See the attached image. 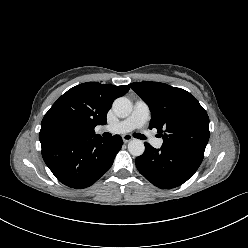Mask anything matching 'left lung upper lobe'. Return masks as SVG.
Wrapping results in <instances>:
<instances>
[{"mask_svg": "<svg viewBox=\"0 0 248 248\" xmlns=\"http://www.w3.org/2000/svg\"><path fill=\"white\" fill-rule=\"evenodd\" d=\"M130 87L151 111L149 128L163 137L162 147L204 155L209 117L189 92L160 82H136Z\"/></svg>", "mask_w": 248, "mask_h": 248, "instance_id": "1", "label": "left lung upper lobe"}]
</instances>
